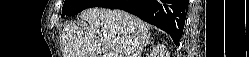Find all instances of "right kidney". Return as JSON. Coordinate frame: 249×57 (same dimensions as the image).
<instances>
[{
  "label": "right kidney",
  "mask_w": 249,
  "mask_h": 57,
  "mask_svg": "<svg viewBox=\"0 0 249 57\" xmlns=\"http://www.w3.org/2000/svg\"><path fill=\"white\" fill-rule=\"evenodd\" d=\"M160 49H161V51H162L163 53H167V50L165 49L164 46H160Z\"/></svg>",
  "instance_id": "ca27d5eb"
}]
</instances>
